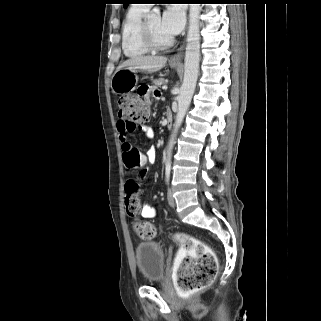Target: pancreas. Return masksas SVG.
Returning <instances> with one entry per match:
<instances>
[{"instance_id":"1","label":"pancreas","mask_w":321,"mask_h":321,"mask_svg":"<svg viewBox=\"0 0 321 321\" xmlns=\"http://www.w3.org/2000/svg\"><path fill=\"white\" fill-rule=\"evenodd\" d=\"M166 80L164 78H159V79H155L153 81V88L156 89L157 87H160L161 85L165 84Z\"/></svg>"}]
</instances>
